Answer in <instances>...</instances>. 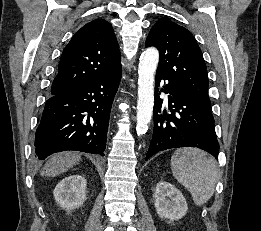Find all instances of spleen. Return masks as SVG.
Here are the masks:
<instances>
[{
    "instance_id": "1",
    "label": "spleen",
    "mask_w": 261,
    "mask_h": 231,
    "mask_svg": "<svg viewBox=\"0 0 261 231\" xmlns=\"http://www.w3.org/2000/svg\"><path fill=\"white\" fill-rule=\"evenodd\" d=\"M174 177L192 194L196 205L206 203L214 193L218 178L216 160L194 148L178 149L171 157Z\"/></svg>"
}]
</instances>
